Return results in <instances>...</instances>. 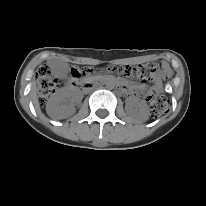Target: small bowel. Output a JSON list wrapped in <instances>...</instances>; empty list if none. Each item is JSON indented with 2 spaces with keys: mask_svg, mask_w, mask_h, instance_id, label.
Here are the masks:
<instances>
[{
  "mask_svg": "<svg viewBox=\"0 0 206 206\" xmlns=\"http://www.w3.org/2000/svg\"><path fill=\"white\" fill-rule=\"evenodd\" d=\"M162 70H163V72H168L167 64H165V63L162 64ZM156 80H157V83L159 84V82H160V75L156 76Z\"/></svg>",
  "mask_w": 206,
  "mask_h": 206,
  "instance_id": "small-bowel-1",
  "label": "small bowel"
}]
</instances>
